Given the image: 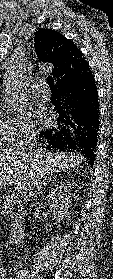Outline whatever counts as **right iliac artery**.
Returning <instances> with one entry per match:
<instances>
[{
    "label": "right iliac artery",
    "mask_w": 113,
    "mask_h": 279,
    "mask_svg": "<svg viewBox=\"0 0 113 279\" xmlns=\"http://www.w3.org/2000/svg\"><path fill=\"white\" fill-rule=\"evenodd\" d=\"M18 279H29L30 275H29V272L28 271H25V270H20L18 272Z\"/></svg>",
    "instance_id": "obj_1"
}]
</instances>
